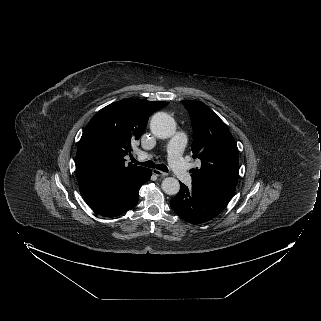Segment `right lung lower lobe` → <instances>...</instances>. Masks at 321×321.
<instances>
[{"label": "right lung lower lobe", "instance_id": "1", "mask_svg": "<svg viewBox=\"0 0 321 321\" xmlns=\"http://www.w3.org/2000/svg\"><path fill=\"white\" fill-rule=\"evenodd\" d=\"M151 175L152 171L145 168L133 175L103 178L81 186L80 192L93 211L115 217L136 206L139 189Z\"/></svg>", "mask_w": 321, "mask_h": 321}]
</instances>
